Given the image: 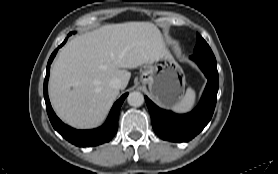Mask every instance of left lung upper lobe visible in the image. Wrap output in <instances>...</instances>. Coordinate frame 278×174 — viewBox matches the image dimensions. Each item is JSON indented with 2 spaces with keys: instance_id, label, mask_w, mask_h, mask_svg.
<instances>
[{
  "instance_id": "1",
  "label": "left lung upper lobe",
  "mask_w": 278,
  "mask_h": 174,
  "mask_svg": "<svg viewBox=\"0 0 278 174\" xmlns=\"http://www.w3.org/2000/svg\"><path fill=\"white\" fill-rule=\"evenodd\" d=\"M193 55L216 64V59H215V56H214L211 48L209 47L207 42L201 36H199L197 38V42H196V46L193 51Z\"/></svg>"
}]
</instances>
